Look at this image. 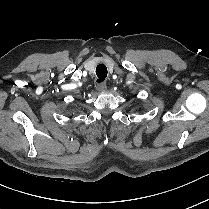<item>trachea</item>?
I'll return each instance as SVG.
<instances>
[{
  "instance_id": "trachea-1",
  "label": "trachea",
  "mask_w": 209,
  "mask_h": 209,
  "mask_svg": "<svg viewBox=\"0 0 209 209\" xmlns=\"http://www.w3.org/2000/svg\"><path fill=\"white\" fill-rule=\"evenodd\" d=\"M96 75L98 77L97 82L102 83L107 77V67L105 64H99L96 67Z\"/></svg>"
}]
</instances>
